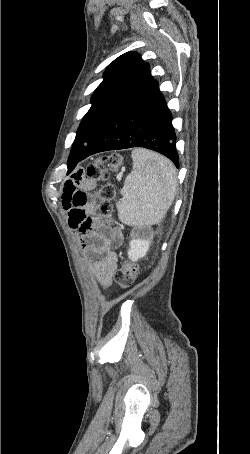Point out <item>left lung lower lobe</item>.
I'll use <instances>...</instances> for the list:
<instances>
[{"label": "left lung lower lobe", "instance_id": "1", "mask_svg": "<svg viewBox=\"0 0 250 454\" xmlns=\"http://www.w3.org/2000/svg\"><path fill=\"white\" fill-rule=\"evenodd\" d=\"M175 144L171 113L158 82L152 80L101 125L80 156H69L68 174L90 155L131 147L157 151L179 168Z\"/></svg>", "mask_w": 250, "mask_h": 454}]
</instances>
